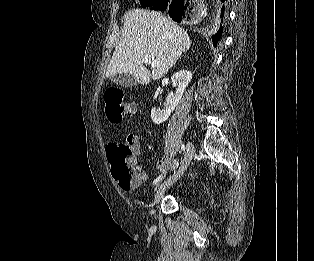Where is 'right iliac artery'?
Masks as SVG:
<instances>
[{"label":"right iliac artery","mask_w":314,"mask_h":261,"mask_svg":"<svg viewBox=\"0 0 314 261\" xmlns=\"http://www.w3.org/2000/svg\"><path fill=\"white\" fill-rule=\"evenodd\" d=\"M181 150L185 151V145L184 144L181 145Z\"/></svg>","instance_id":"obj_1"}]
</instances>
